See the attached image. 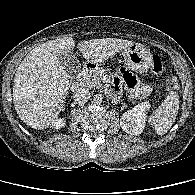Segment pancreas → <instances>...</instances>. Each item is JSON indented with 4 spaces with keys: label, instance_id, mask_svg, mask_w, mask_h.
Masks as SVG:
<instances>
[{
    "label": "pancreas",
    "instance_id": "1",
    "mask_svg": "<svg viewBox=\"0 0 195 195\" xmlns=\"http://www.w3.org/2000/svg\"><path fill=\"white\" fill-rule=\"evenodd\" d=\"M103 74H105V70L102 68L86 73L81 78V85L92 90L101 89L103 87L101 83V77Z\"/></svg>",
    "mask_w": 195,
    "mask_h": 195
}]
</instances>
